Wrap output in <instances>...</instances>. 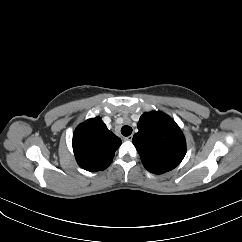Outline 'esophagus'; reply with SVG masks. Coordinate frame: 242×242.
<instances>
[{
  "label": "esophagus",
  "instance_id": "34e87169",
  "mask_svg": "<svg viewBox=\"0 0 242 242\" xmlns=\"http://www.w3.org/2000/svg\"><path fill=\"white\" fill-rule=\"evenodd\" d=\"M132 138H133V136H132V135H129L128 137H125L124 139H125L126 141H131Z\"/></svg>",
  "mask_w": 242,
  "mask_h": 242
}]
</instances>
